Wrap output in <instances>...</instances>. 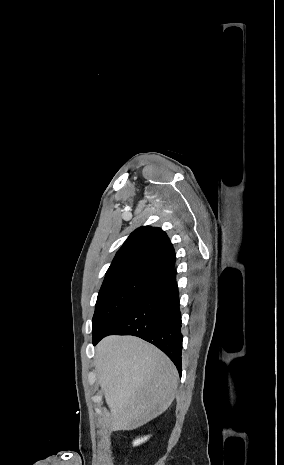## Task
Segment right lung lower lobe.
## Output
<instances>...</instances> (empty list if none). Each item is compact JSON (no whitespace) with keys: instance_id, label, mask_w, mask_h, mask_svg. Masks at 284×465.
<instances>
[{"instance_id":"1","label":"right lung lower lobe","mask_w":284,"mask_h":465,"mask_svg":"<svg viewBox=\"0 0 284 465\" xmlns=\"http://www.w3.org/2000/svg\"><path fill=\"white\" fill-rule=\"evenodd\" d=\"M112 334L133 335L154 344L172 360L181 376V313L175 269L154 280L147 290L93 338V344Z\"/></svg>"}]
</instances>
